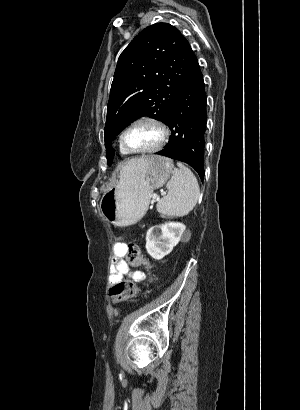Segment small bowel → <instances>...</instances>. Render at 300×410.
Listing matches in <instances>:
<instances>
[{
	"mask_svg": "<svg viewBox=\"0 0 300 410\" xmlns=\"http://www.w3.org/2000/svg\"><path fill=\"white\" fill-rule=\"evenodd\" d=\"M126 244L116 243L114 245L112 264L110 269V282L127 279L137 283L146 279L147 274L142 270H131L130 265L124 260Z\"/></svg>",
	"mask_w": 300,
	"mask_h": 410,
	"instance_id": "small-bowel-1",
	"label": "small bowel"
}]
</instances>
